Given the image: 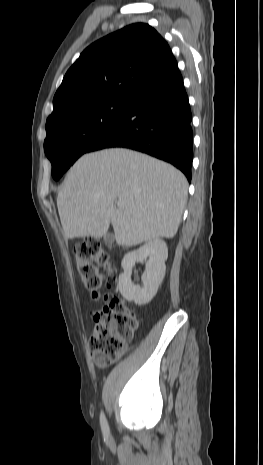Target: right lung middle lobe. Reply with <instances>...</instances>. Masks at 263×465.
Instances as JSON below:
<instances>
[{"label": "right lung middle lobe", "mask_w": 263, "mask_h": 465, "mask_svg": "<svg viewBox=\"0 0 263 465\" xmlns=\"http://www.w3.org/2000/svg\"><path fill=\"white\" fill-rule=\"evenodd\" d=\"M131 99L113 97L95 100L46 122L44 150L52 163L55 180L125 116Z\"/></svg>", "instance_id": "1"}]
</instances>
